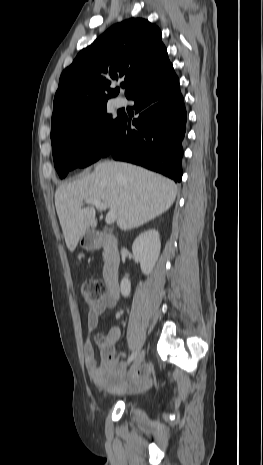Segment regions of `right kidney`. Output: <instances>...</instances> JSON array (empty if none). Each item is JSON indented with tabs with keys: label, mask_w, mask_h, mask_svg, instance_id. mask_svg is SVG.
Segmentation results:
<instances>
[{
	"label": "right kidney",
	"mask_w": 263,
	"mask_h": 465,
	"mask_svg": "<svg viewBox=\"0 0 263 465\" xmlns=\"http://www.w3.org/2000/svg\"><path fill=\"white\" fill-rule=\"evenodd\" d=\"M160 248L159 232L155 229L141 233L133 242L132 252L136 260L139 261L144 274L148 275L152 272L158 260ZM120 288L121 294L124 297H128L131 291V284L128 278L122 279Z\"/></svg>",
	"instance_id": "obj_1"
}]
</instances>
